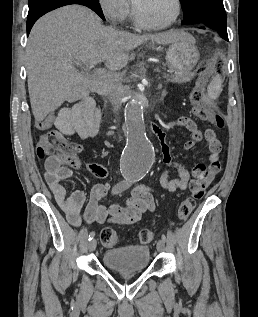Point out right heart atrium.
Returning a JSON list of instances; mask_svg holds the SVG:
<instances>
[{"label":"right heart atrium","mask_w":258,"mask_h":317,"mask_svg":"<svg viewBox=\"0 0 258 317\" xmlns=\"http://www.w3.org/2000/svg\"><path fill=\"white\" fill-rule=\"evenodd\" d=\"M100 8L105 18L115 24H123L130 15L127 0H100Z\"/></svg>","instance_id":"d8ad5b80"}]
</instances>
